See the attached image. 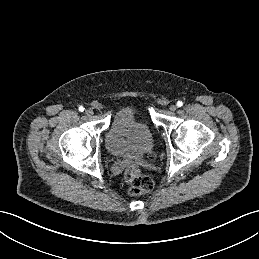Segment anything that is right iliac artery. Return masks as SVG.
<instances>
[{"instance_id":"82829eb1","label":"right iliac artery","mask_w":259,"mask_h":259,"mask_svg":"<svg viewBox=\"0 0 259 259\" xmlns=\"http://www.w3.org/2000/svg\"><path fill=\"white\" fill-rule=\"evenodd\" d=\"M79 111L83 112V111H84V107H83V106H80V107H79Z\"/></svg>"}]
</instances>
